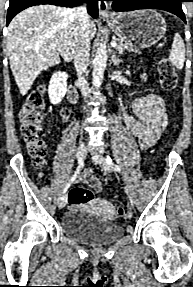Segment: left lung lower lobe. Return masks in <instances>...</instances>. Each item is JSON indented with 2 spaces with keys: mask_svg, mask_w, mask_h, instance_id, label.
<instances>
[{
  "mask_svg": "<svg viewBox=\"0 0 193 287\" xmlns=\"http://www.w3.org/2000/svg\"><path fill=\"white\" fill-rule=\"evenodd\" d=\"M113 1L112 8L116 12L139 9H160L173 13L186 22L181 3L184 0H109Z\"/></svg>",
  "mask_w": 193,
  "mask_h": 287,
  "instance_id": "1",
  "label": "left lung lower lobe"
}]
</instances>
